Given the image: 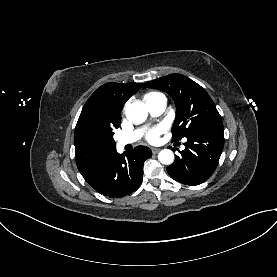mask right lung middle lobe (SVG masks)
Listing matches in <instances>:
<instances>
[{"instance_id":"1","label":"right lung middle lobe","mask_w":277,"mask_h":277,"mask_svg":"<svg viewBox=\"0 0 277 277\" xmlns=\"http://www.w3.org/2000/svg\"><path fill=\"white\" fill-rule=\"evenodd\" d=\"M112 144H113V149H115L116 148L115 141H113Z\"/></svg>"}]
</instances>
